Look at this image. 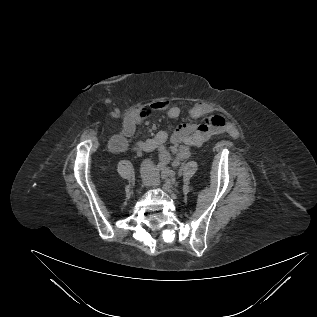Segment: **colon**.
Masks as SVG:
<instances>
[{"mask_svg": "<svg viewBox=\"0 0 317 317\" xmlns=\"http://www.w3.org/2000/svg\"><path fill=\"white\" fill-rule=\"evenodd\" d=\"M153 108H143L141 109L138 114L135 115L137 118H144L149 116L152 113Z\"/></svg>", "mask_w": 317, "mask_h": 317, "instance_id": "5ec220e1", "label": "colon"}]
</instances>
